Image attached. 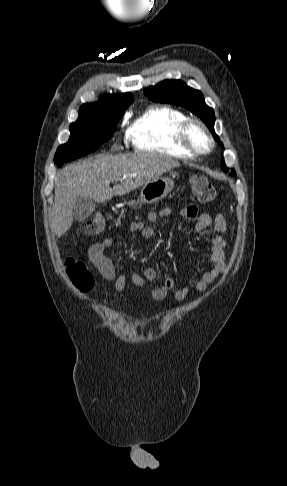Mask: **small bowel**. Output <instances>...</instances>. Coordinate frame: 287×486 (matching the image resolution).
<instances>
[{"label": "small bowel", "instance_id": "c3829d8e", "mask_svg": "<svg viewBox=\"0 0 287 486\" xmlns=\"http://www.w3.org/2000/svg\"><path fill=\"white\" fill-rule=\"evenodd\" d=\"M173 214V209L165 207L160 210H152L147 214L148 221L154 223L163 218L169 217ZM181 217L191 219L194 221V231L201 233L206 231L212 225L216 230V234L211 237V245L209 248L208 258L210 268L205 271L201 277L195 282L194 287L198 292H204L208 286L212 284L221 274L226 271L225 247L227 244L226 232L227 222L226 218L219 214L212 218L206 212H199L196 206H187L178 210ZM128 230L132 233L140 232L145 239H152L156 236L155 229L147 226L143 221H134L130 223ZM113 239L111 237L93 244L88 250V257L91 263L99 271V273L108 281H114V287L117 292H122L127 283L125 274H116L115 267L106 255V251L112 246ZM158 273L155 268H143L139 272H135L130 276L131 282L137 287H144L146 281H153L157 279ZM176 282L173 278H166L163 284L152 290L151 295L154 300H163L170 291L174 290ZM190 292V286L186 285L174 290L173 298L176 301L185 300Z\"/></svg>", "mask_w": 287, "mask_h": 486}]
</instances>
